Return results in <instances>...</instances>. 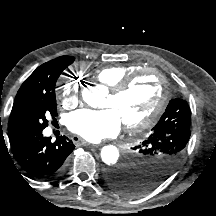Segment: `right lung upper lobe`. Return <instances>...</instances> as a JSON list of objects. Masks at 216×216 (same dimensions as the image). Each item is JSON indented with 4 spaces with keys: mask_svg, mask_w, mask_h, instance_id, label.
<instances>
[{
    "mask_svg": "<svg viewBox=\"0 0 216 216\" xmlns=\"http://www.w3.org/2000/svg\"><path fill=\"white\" fill-rule=\"evenodd\" d=\"M74 57L61 56L39 66L21 85L13 104L10 117H12L26 95L36 87L51 81L56 76L57 66L60 62L72 60ZM9 137H12L9 135Z\"/></svg>",
    "mask_w": 216,
    "mask_h": 216,
    "instance_id": "obj_1",
    "label": "right lung upper lobe"
}]
</instances>
